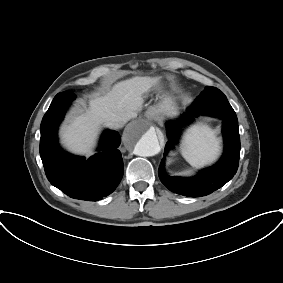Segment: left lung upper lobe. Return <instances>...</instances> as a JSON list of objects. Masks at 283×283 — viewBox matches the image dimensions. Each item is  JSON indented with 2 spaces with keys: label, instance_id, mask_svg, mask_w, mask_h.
<instances>
[{
  "label": "left lung upper lobe",
  "instance_id": "left-lung-upper-lobe-1",
  "mask_svg": "<svg viewBox=\"0 0 283 283\" xmlns=\"http://www.w3.org/2000/svg\"><path fill=\"white\" fill-rule=\"evenodd\" d=\"M208 97L212 98L213 100H226V96L223 92L215 87H206L203 91Z\"/></svg>",
  "mask_w": 283,
  "mask_h": 283
}]
</instances>
